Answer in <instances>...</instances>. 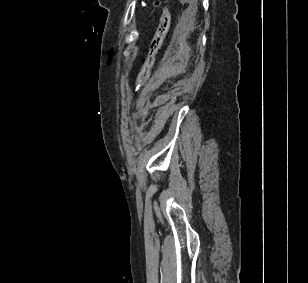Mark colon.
Returning a JSON list of instances; mask_svg holds the SVG:
<instances>
[{"label": "colon", "instance_id": "5ec220e1", "mask_svg": "<svg viewBox=\"0 0 308 283\" xmlns=\"http://www.w3.org/2000/svg\"><path fill=\"white\" fill-rule=\"evenodd\" d=\"M154 6L156 8H161L160 1H155ZM169 26L170 13L167 8L162 7L156 31L149 46V51L137 76V85L140 86L144 84L148 76L150 75V72L155 62L156 55L160 50L162 43L167 35Z\"/></svg>", "mask_w": 308, "mask_h": 283}]
</instances>
